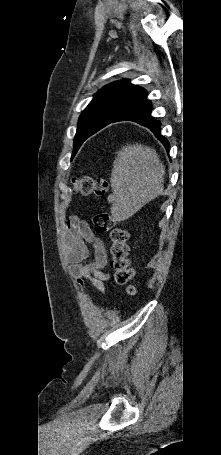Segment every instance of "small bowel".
Instances as JSON below:
<instances>
[{"label":"small bowel","mask_w":221,"mask_h":455,"mask_svg":"<svg viewBox=\"0 0 221 455\" xmlns=\"http://www.w3.org/2000/svg\"><path fill=\"white\" fill-rule=\"evenodd\" d=\"M64 249L69 262L77 267L78 283L87 278L101 295L107 294L106 282L109 277L103 272L107 255L103 242L94 234L89 225L77 217L71 218L64 227ZM90 245V249L85 244ZM92 253V262L85 259Z\"/></svg>","instance_id":"small-bowel-1"}]
</instances>
